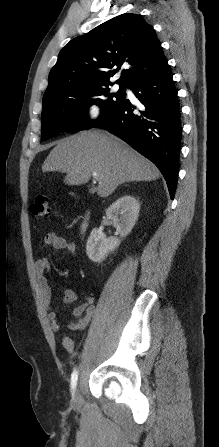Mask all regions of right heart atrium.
Masks as SVG:
<instances>
[{"label": "right heart atrium", "mask_w": 219, "mask_h": 447, "mask_svg": "<svg viewBox=\"0 0 219 447\" xmlns=\"http://www.w3.org/2000/svg\"><path fill=\"white\" fill-rule=\"evenodd\" d=\"M102 115L101 109L96 105L87 106L82 112V116L87 122H97L102 118Z\"/></svg>", "instance_id": "obj_1"}]
</instances>
